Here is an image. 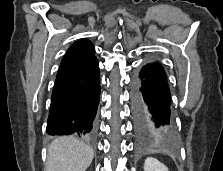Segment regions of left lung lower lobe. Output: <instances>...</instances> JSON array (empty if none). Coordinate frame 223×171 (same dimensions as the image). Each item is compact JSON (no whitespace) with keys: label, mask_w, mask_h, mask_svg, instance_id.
I'll return each mask as SVG.
<instances>
[{"label":"left lung lower lobe","mask_w":223,"mask_h":171,"mask_svg":"<svg viewBox=\"0 0 223 171\" xmlns=\"http://www.w3.org/2000/svg\"><path fill=\"white\" fill-rule=\"evenodd\" d=\"M134 130L140 145L169 142L176 136L166 73L158 62L144 65L132 84Z\"/></svg>","instance_id":"1"}]
</instances>
